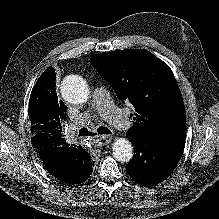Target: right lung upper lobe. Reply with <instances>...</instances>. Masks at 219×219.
<instances>
[{
  "label": "right lung upper lobe",
  "mask_w": 219,
  "mask_h": 219,
  "mask_svg": "<svg viewBox=\"0 0 219 219\" xmlns=\"http://www.w3.org/2000/svg\"><path fill=\"white\" fill-rule=\"evenodd\" d=\"M55 78L53 67L47 68L39 77L31 92L29 100L31 142L38 149L39 156L43 157L42 161L45 165L52 164L50 168L59 176L71 177L73 170L63 155L64 153L50 160L44 158V155L54 147H69L61 133V124L66 121L67 106L57 97ZM84 155L90 157L89 153L84 152Z\"/></svg>",
  "instance_id": "1"
}]
</instances>
